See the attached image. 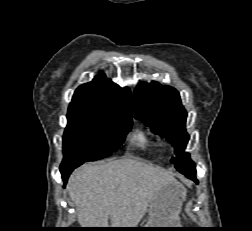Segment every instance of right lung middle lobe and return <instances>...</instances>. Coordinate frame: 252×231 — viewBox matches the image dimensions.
Here are the masks:
<instances>
[{
  "mask_svg": "<svg viewBox=\"0 0 252 231\" xmlns=\"http://www.w3.org/2000/svg\"><path fill=\"white\" fill-rule=\"evenodd\" d=\"M60 170L102 159L116 151L130 131L132 118L89 111H68Z\"/></svg>",
  "mask_w": 252,
  "mask_h": 231,
  "instance_id": "obj_1",
  "label": "right lung middle lobe"
}]
</instances>
